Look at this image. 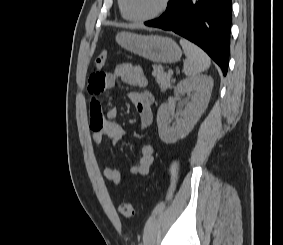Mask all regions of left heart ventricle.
I'll use <instances>...</instances> for the list:
<instances>
[{"instance_id": "1", "label": "left heart ventricle", "mask_w": 283, "mask_h": 245, "mask_svg": "<svg viewBox=\"0 0 283 245\" xmlns=\"http://www.w3.org/2000/svg\"><path fill=\"white\" fill-rule=\"evenodd\" d=\"M162 0H125L126 12L132 17H144L155 12Z\"/></svg>"}]
</instances>
